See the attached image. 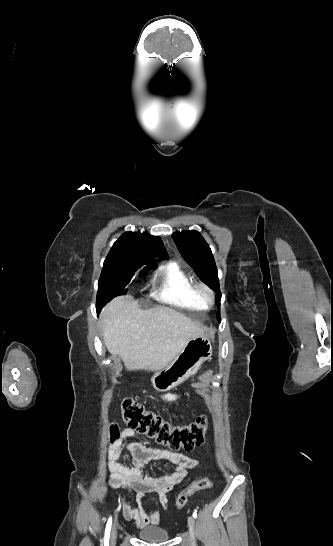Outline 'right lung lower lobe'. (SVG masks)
Masks as SVG:
<instances>
[{
  "mask_svg": "<svg viewBox=\"0 0 333 546\" xmlns=\"http://www.w3.org/2000/svg\"><path fill=\"white\" fill-rule=\"evenodd\" d=\"M96 308H97V311L99 312V311H100V310H99V307L96 306Z\"/></svg>",
  "mask_w": 333,
  "mask_h": 546,
  "instance_id": "1",
  "label": "right lung lower lobe"
}]
</instances>
